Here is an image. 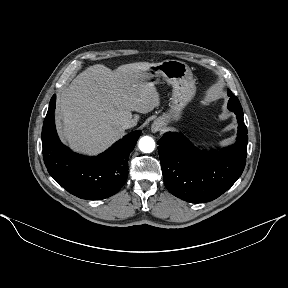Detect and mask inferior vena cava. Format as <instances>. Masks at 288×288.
<instances>
[{
    "mask_svg": "<svg viewBox=\"0 0 288 288\" xmlns=\"http://www.w3.org/2000/svg\"><path fill=\"white\" fill-rule=\"evenodd\" d=\"M137 125V120L136 119H128L123 123V128L124 129H129Z\"/></svg>",
    "mask_w": 288,
    "mask_h": 288,
    "instance_id": "inferior-vena-cava-1",
    "label": "inferior vena cava"
}]
</instances>
